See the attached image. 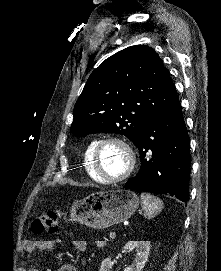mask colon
I'll list each match as a JSON object with an SVG mask.
<instances>
[{"instance_id": "colon-1", "label": "colon", "mask_w": 221, "mask_h": 271, "mask_svg": "<svg viewBox=\"0 0 221 271\" xmlns=\"http://www.w3.org/2000/svg\"><path fill=\"white\" fill-rule=\"evenodd\" d=\"M58 215L54 211H42L33 221L31 231L33 234H41L44 231L54 232L57 229Z\"/></svg>"}]
</instances>
